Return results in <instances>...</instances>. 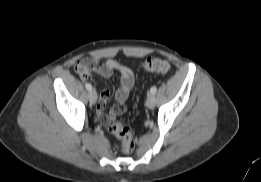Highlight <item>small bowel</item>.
<instances>
[{
    "label": "small bowel",
    "instance_id": "c3829d8e",
    "mask_svg": "<svg viewBox=\"0 0 261 182\" xmlns=\"http://www.w3.org/2000/svg\"><path fill=\"white\" fill-rule=\"evenodd\" d=\"M81 61L88 66L89 71L88 75L80 76L84 80H90V72H95L105 78L111 77L114 72H118L120 74V86L115 93L117 104L112 107L108 113L105 112V107L110 97V90L105 88L101 91L99 101L96 106L97 119L101 123L107 124L118 115L124 113L126 110L125 103L134 86L133 71L129 67L121 65L113 59L99 62L97 60L86 58Z\"/></svg>",
    "mask_w": 261,
    "mask_h": 182
}]
</instances>
